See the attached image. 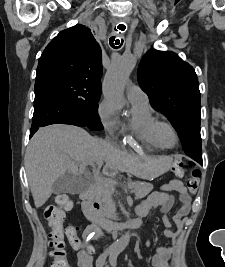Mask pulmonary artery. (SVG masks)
Returning a JSON list of instances; mask_svg holds the SVG:
<instances>
[{"label":"pulmonary artery","instance_id":"pulmonary-artery-1","mask_svg":"<svg viewBox=\"0 0 225 267\" xmlns=\"http://www.w3.org/2000/svg\"><path fill=\"white\" fill-rule=\"evenodd\" d=\"M127 95L130 100H147L146 93L137 85H130L127 90Z\"/></svg>","mask_w":225,"mask_h":267}]
</instances>
